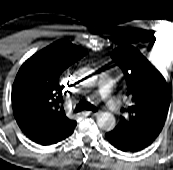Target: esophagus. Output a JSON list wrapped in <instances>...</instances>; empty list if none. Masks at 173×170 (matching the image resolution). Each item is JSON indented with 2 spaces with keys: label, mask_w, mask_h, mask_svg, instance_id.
<instances>
[{
  "label": "esophagus",
  "mask_w": 173,
  "mask_h": 170,
  "mask_svg": "<svg viewBox=\"0 0 173 170\" xmlns=\"http://www.w3.org/2000/svg\"><path fill=\"white\" fill-rule=\"evenodd\" d=\"M84 115L86 116H89V115H92V116H97L99 114V112H93V111H85L83 112Z\"/></svg>",
  "instance_id": "1"
}]
</instances>
